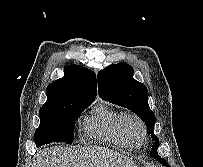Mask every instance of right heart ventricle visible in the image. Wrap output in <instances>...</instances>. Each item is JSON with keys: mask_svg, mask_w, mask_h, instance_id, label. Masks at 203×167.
<instances>
[{"mask_svg": "<svg viewBox=\"0 0 203 167\" xmlns=\"http://www.w3.org/2000/svg\"><path fill=\"white\" fill-rule=\"evenodd\" d=\"M124 115L121 111L99 104L84 119L83 130L90 137L110 141L120 146H131L121 129Z\"/></svg>", "mask_w": 203, "mask_h": 167, "instance_id": "1", "label": "right heart ventricle"}]
</instances>
